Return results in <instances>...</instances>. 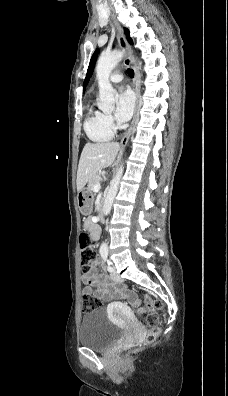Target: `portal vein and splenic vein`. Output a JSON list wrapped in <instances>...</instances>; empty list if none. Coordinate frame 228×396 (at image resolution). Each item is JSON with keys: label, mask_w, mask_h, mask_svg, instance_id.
I'll use <instances>...</instances> for the list:
<instances>
[{"label": "portal vein and splenic vein", "mask_w": 228, "mask_h": 396, "mask_svg": "<svg viewBox=\"0 0 228 396\" xmlns=\"http://www.w3.org/2000/svg\"><path fill=\"white\" fill-rule=\"evenodd\" d=\"M100 184H96L95 186H94V188H93V190L95 191V192H98L99 190H100Z\"/></svg>", "instance_id": "obj_1"}]
</instances>
